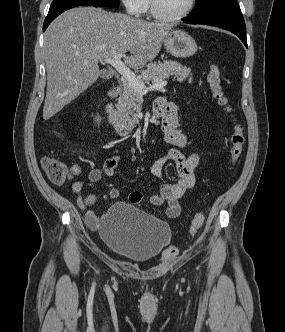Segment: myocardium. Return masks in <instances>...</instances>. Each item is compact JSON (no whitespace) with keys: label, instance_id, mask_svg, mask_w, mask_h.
Returning a JSON list of instances; mask_svg holds the SVG:
<instances>
[{"label":"myocardium","instance_id":"myocardium-1","mask_svg":"<svg viewBox=\"0 0 285 332\" xmlns=\"http://www.w3.org/2000/svg\"><path fill=\"white\" fill-rule=\"evenodd\" d=\"M150 1V13L151 15L160 21L164 22H176L180 21L184 18H186L195 8L197 0H190L188 7L180 14L175 15V16H169L163 14L157 6V1L156 0H149Z\"/></svg>","mask_w":285,"mask_h":332}]
</instances>
